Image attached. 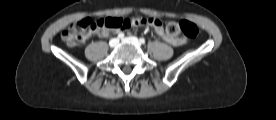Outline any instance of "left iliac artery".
<instances>
[{"instance_id":"obj_1","label":"left iliac artery","mask_w":276,"mask_h":120,"mask_svg":"<svg viewBox=\"0 0 276 120\" xmlns=\"http://www.w3.org/2000/svg\"><path fill=\"white\" fill-rule=\"evenodd\" d=\"M139 41H140V43L145 44V39L144 38H140Z\"/></svg>"}]
</instances>
